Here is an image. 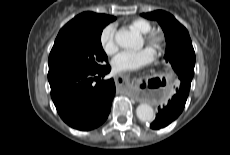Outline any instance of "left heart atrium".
<instances>
[{
    "instance_id": "obj_1",
    "label": "left heart atrium",
    "mask_w": 230,
    "mask_h": 155,
    "mask_svg": "<svg viewBox=\"0 0 230 155\" xmlns=\"http://www.w3.org/2000/svg\"><path fill=\"white\" fill-rule=\"evenodd\" d=\"M154 59V53L150 48H143L138 51H123L116 55L112 62L115 72H129L138 70Z\"/></svg>"
}]
</instances>
